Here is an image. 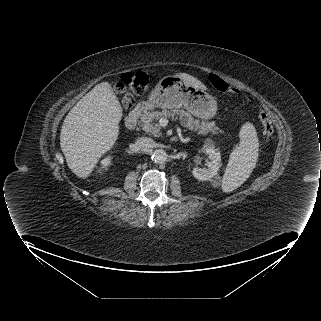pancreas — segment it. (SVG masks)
<instances>
[{"instance_id":"cf45deb5","label":"pancreas","mask_w":321,"mask_h":321,"mask_svg":"<svg viewBox=\"0 0 321 321\" xmlns=\"http://www.w3.org/2000/svg\"><path fill=\"white\" fill-rule=\"evenodd\" d=\"M162 117H172L180 120L181 125L187 129L196 132L198 135H207L208 133L217 134L222 133L223 130L219 129L214 122L200 121L194 119L193 116L185 110H167L147 112L141 117L140 127L154 137L161 135V126L156 123Z\"/></svg>"}]
</instances>
